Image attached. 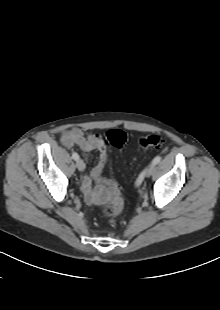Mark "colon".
Wrapping results in <instances>:
<instances>
[{
  "mask_svg": "<svg viewBox=\"0 0 220 310\" xmlns=\"http://www.w3.org/2000/svg\"><path fill=\"white\" fill-rule=\"evenodd\" d=\"M127 136L120 129H112L106 133L105 143L116 148H121L126 142ZM163 139L158 134H150L142 137L139 141L143 149H156L161 146ZM124 207L121 191L116 183L112 185V192L109 198L103 203V214L107 217L118 216Z\"/></svg>",
  "mask_w": 220,
  "mask_h": 310,
  "instance_id": "1",
  "label": "colon"
}]
</instances>
